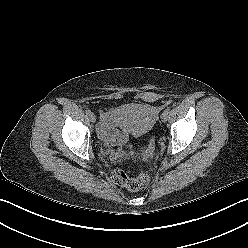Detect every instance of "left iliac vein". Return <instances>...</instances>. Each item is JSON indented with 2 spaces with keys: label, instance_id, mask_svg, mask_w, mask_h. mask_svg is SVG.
Wrapping results in <instances>:
<instances>
[{
  "label": "left iliac vein",
  "instance_id": "1",
  "mask_svg": "<svg viewBox=\"0 0 248 248\" xmlns=\"http://www.w3.org/2000/svg\"><path fill=\"white\" fill-rule=\"evenodd\" d=\"M168 116H169V111L168 110H165L162 114H161V120L163 122H166L167 119H168Z\"/></svg>",
  "mask_w": 248,
  "mask_h": 248
}]
</instances>
